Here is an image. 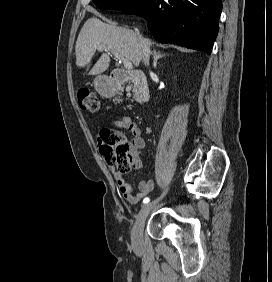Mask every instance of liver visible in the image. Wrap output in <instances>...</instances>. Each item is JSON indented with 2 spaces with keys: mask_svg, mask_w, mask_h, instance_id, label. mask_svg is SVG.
Returning <instances> with one entry per match:
<instances>
[{
  "mask_svg": "<svg viewBox=\"0 0 272 282\" xmlns=\"http://www.w3.org/2000/svg\"><path fill=\"white\" fill-rule=\"evenodd\" d=\"M142 41L149 48L152 42L133 30L104 23L96 17L83 25L75 46L77 67L87 66L99 46L118 52L125 60L138 67L142 60ZM110 57L102 54L89 75H98L109 67Z\"/></svg>",
  "mask_w": 272,
  "mask_h": 282,
  "instance_id": "6515ba94",
  "label": "liver"
}]
</instances>
